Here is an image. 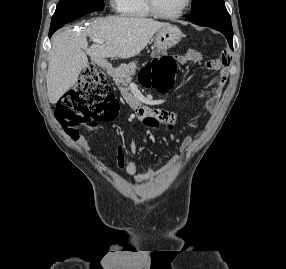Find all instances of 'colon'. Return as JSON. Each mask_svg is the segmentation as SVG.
Returning a JSON list of instances; mask_svg holds the SVG:
<instances>
[{
	"label": "colon",
	"instance_id": "5ec220e1",
	"mask_svg": "<svg viewBox=\"0 0 286 269\" xmlns=\"http://www.w3.org/2000/svg\"><path fill=\"white\" fill-rule=\"evenodd\" d=\"M152 58L143 73L146 86L168 91L174 84L175 60L166 49H153ZM119 110L118 102L104 75L94 65L83 71L78 86L63 95L56 106L55 116L66 133L78 137L77 127L82 124L95 126L114 119ZM148 126H157V121H148Z\"/></svg>",
	"mask_w": 286,
	"mask_h": 269
}]
</instances>
